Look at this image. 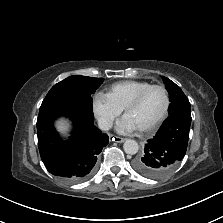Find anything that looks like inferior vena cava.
I'll return each mask as SVG.
<instances>
[{"label": "inferior vena cava", "instance_id": "obj_1", "mask_svg": "<svg viewBox=\"0 0 223 223\" xmlns=\"http://www.w3.org/2000/svg\"><path fill=\"white\" fill-rule=\"evenodd\" d=\"M112 122L108 119L101 118L98 120V126L100 130L107 131L112 128Z\"/></svg>", "mask_w": 223, "mask_h": 223}]
</instances>
